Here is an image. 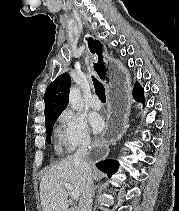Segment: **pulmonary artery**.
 Here are the masks:
<instances>
[{
	"label": "pulmonary artery",
	"instance_id": "obj_1",
	"mask_svg": "<svg viewBox=\"0 0 179 211\" xmlns=\"http://www.w3.org/2000/svg\"><path fill=\"white\" fill-rule=\"evenodd\" d=\"M90 106L94 110H100L102 108V102L100 101V99L98 98L97 95H94L92 97V99L90 101Z\"/></svg>",
	"mask_w": 179,
	"mask_h": 211
}]
</instances>
